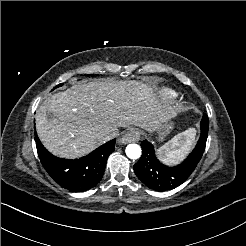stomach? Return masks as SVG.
I'll use <instances>...</instances> for the list:
<instances>
[{"label":"stomach","mask_w":246,"mask_h":246,"mask_svg":"<svg viewBox=\"0 0 246 246\" xmlns=\"http://www.w3.org/2000/svg\"><path fill=\"white\" fill-rule=\"evenodd\" d=\"M167 130H166V128H164L163 130H162V133H165ZM161 139H162V137H161Z\"/></svg>","instance_id":"0dacf381"}]
</instances>
